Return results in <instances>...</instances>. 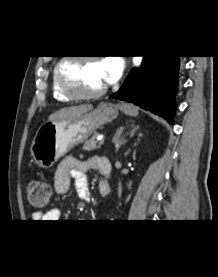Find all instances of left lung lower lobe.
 I'll list each match as a JSON object with an SVG mask.
<instances>
[{"mask_svg": "<svg viewBox=\"0 0 218 277\" xmlns=\"http://www.w3.org/2000/svg\"><path fill=\"white\" fill-rule=\"evenodd\" d=\"M142 68H134L111 98L134 103L173 124L178 88L179 56H146Z\"/></svg>", "mask_w": 218, "mask_h": 277, "instance_id": "0a47b994", "label": "left lung lower lobe"}]
</instances>
